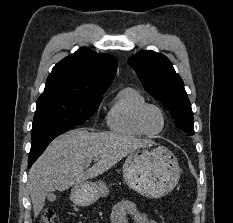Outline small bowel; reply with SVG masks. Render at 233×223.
Returning <instances> with one entry per match:
<instances>
[{
    "mask_svg": "<svg viewBox=\"0 0 233 223\" xmlns=\"http://www.w3.org/2000/svg\"><path fill=\"white\" fill-rule=\"evenodd\" d=\"M130 219L133 223H157L142 213L133 202L126 199L117 202L111 211V223H129Z\"/></svg>",
    "mask_w": 233,
    "mask_h": 223,
    "instance_id": "c3829d8e",
    "label": "small bowel"
}]
</instances>
